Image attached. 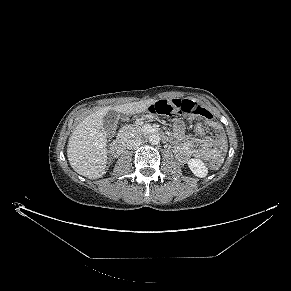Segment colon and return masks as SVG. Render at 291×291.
Listing matches in <instances>:
<instances>
[{"label":"colon","instance_id":"1","mask_svg":"<svg viewBox=\"0 0 291 291\" xmlns=\"http://www.w3.org/2000/svg\"><path fill=\"white\" fill-rule=\"evenodd\" d=\"M149 112L155 115H179L185 118L198 117L210 127L213 116L210 111L190 100H160L149 107ZM222 165L220 160L209 163L212 169H218Z\"/></svg>","mask_w":291,"mask_h":291}]
</instances>
